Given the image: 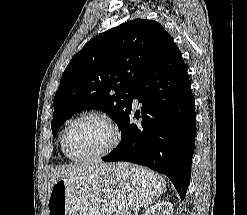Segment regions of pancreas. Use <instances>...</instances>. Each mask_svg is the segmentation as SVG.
I'll return each instance as SVG.
<instances>
[{"mask_svg": "<svg viewBox=\"0 0 247 215\" xmlns=\"http://www.w3.org/2000/svg\"><path fill=\"white\" fill-rule=\"evenodd\" d=\"M115 215H130V213L126 211H120V212H117Z\"/></svg>", "mask_w": 247, "mask_h": 215, "instance_id": "pancreas-1", "label": "pancreas"}]
</instances>
